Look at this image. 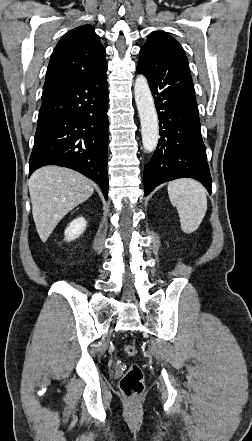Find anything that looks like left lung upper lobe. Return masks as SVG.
<instances>
[{"label": "left lung upper lobe", "instance_id": "1", "mask_svg": "<svg viewBox=\"0 0 252 441\" xmlns=\"http://www.w3.org/2000/svg\"><path fill=\"white\" fill-rule=\"evenodd\" d=\"M163 46L176 47L182 52H184L181 45L172 37H170L163 31H154L148 36V39L145 45L142 47L140 53H144V52L150 53L152 50Z\"/></svg>", "mask_w": 252, "mask_h": 441}]
</instances>
